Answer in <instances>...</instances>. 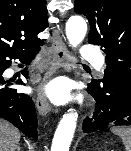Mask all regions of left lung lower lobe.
I'll use <instances>...</instances> for the list:
<instances>
[{
  "label": "left lung lower lobe",
  "instance_id": "obj_1",
  "mask_svg": "<svg viewBox=\"0 0 131 151\" xmlns=\"http://www.w3.org/2000/svg\"><path fill=\"white\" fill-rule=\"evenodd\" d=\"M88 92L97 104L93 117L83 122L84 133L117 125L131 126V86L112 81H92Z\"/></svg>",
  "mask_w": 131,
  "mask_h": 151
}]
</instances>
